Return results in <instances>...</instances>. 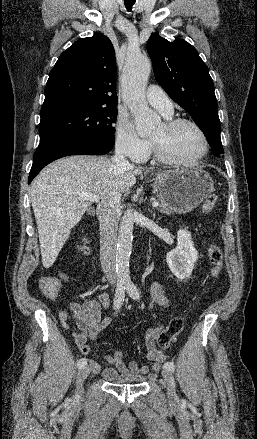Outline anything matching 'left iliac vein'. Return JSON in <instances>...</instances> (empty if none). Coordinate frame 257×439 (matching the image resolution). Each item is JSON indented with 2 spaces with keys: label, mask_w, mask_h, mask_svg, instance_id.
Segmentation results:
<instances>
[{
  "label": "left iliac vein",
  "mask_w": 257,
  "mask_h": 439,
  "mask_svg": "<svg viewBox=\"0 0 257 439\" xmlns=\"http://www.w3.org/2000/svg\"><path fill=\"white\" fill-rule=\"evenodd\" d=\"M162 377L166 383L167 395L170 401H174L177 399L176 389H175V380L172 373L168 370L162 371Z\"/></svg>",
  "instance_id": "left-iliac-vein-1"
}]
</instances>
